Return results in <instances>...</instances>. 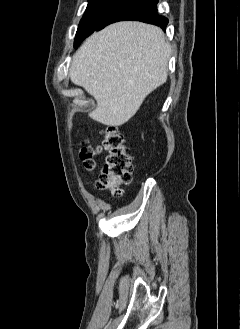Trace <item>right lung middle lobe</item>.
<instances>
[{
  "mask_svg": "<svg viewBox=\"0 0 240 329\" xmlns=\"http://www.w3.org/2000/svg\"><path fill=\"white\" fill-rule=\"evenodd\" d=\"M88 6L79 23L76 37L74 41V47L77 48L80 43L92 34L99 24V22L105 17V15L116 5L120 0H88Z\"/></svg>",
  "mask_w": 240,
  "mask_h": 329,
  "instance_id": "obj_1",
  "label": "right lung middle lobe"
}]
</instances>
